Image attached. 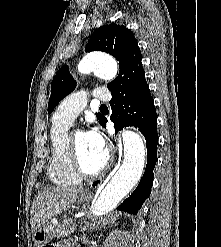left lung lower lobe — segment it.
Wrapping results in <instances>:
<instances>
[{
    "label": "left lung lower lobe",
    "mask_w": 221,
    "mask_h": 247,
    "mask_svg": "<svg viewBox=\"0 0 221 247\" xmlns=\"http://www.w3.org/2000/svg\"><path fill=\"white\" fill-rule=\"evenodd\" d=\"M111 116L115 132L126 126H134L144 135L147 145V165L144 175L134 192L118 207L119 210L136 215L149 197L153 184V169L157 161V115L150 90L128 98L112 96ZM104 118L102 126H106ZM99 181L93 183L96 186Z\"/></svg>",
    "instance_id": "left-lung-lower-lobe-1"
}]
</instances>
